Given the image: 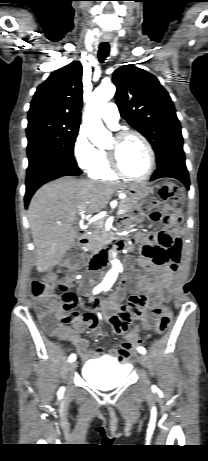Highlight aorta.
Returning a JSON list of instances; mask_svg holds the SVG:
<instances>
[{
    "label": "aorta",
    "mask_w": 208,
    "mask_h": 461,
    "mask_svg": "<svg viewBox=\"0 0 208 461\" xmlns=\"http://www.w3.org/2000/svg\"><path fill=\"white\" fill-rule=\"evenodd\" d=\"M116 92L113 84H101L91 94L86 105L83 126L84 130L98 148H105L109 144L110 133L105 129L101 121V110L111 100ZM117 252L113 251L112 268L106 274L105 280L114 282L120 271V261L116 258Z\"/></svg>",
    "instance_id": "762f6f07"
}]
</instances>
